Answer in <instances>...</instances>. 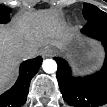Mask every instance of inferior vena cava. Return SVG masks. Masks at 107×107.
<instances>
[{
    "label": "inferior vena cava",
    "instance_id": "obj_1",
    "mask_svg": "<svg viewBox=\"0 0 107 107\" xmlns=\"http://www.w3.org/2000/svg\"><path fill=\"white\" fill-rule=\"evenodd\" d=\"M37 54V50H31V49H23L20 51V55L23 58H33Z\"/></svg>",
    "mask_w": 107,
    "mask_h": 107
}]
</instances>
